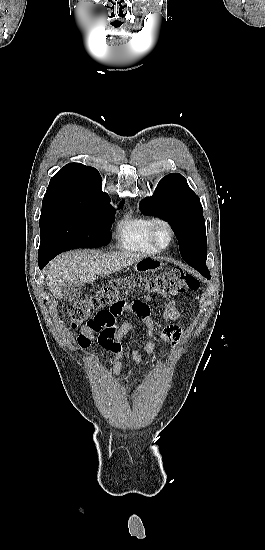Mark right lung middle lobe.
I'll return each instance as SVG.
<instances>
[{
    "instance_id": "right-lung-middle-lobe-1",
    "label": "right lung middle lobe",
    "mask_w": 265,
    "mask_h": 550,
    "mask_svg": "<svg viewBox=\"0 0 265 550\" xmlns=\"http://www.w3.org/2000/svg\"><path fill=\"white\" fill-rule=\"evenodd\" d=\"M123 205L122 201L119 208ZM114 216L110 199L43 201L38 255L51 260L71 249L106 246Z\"/></svg>"
}]
</instances>
